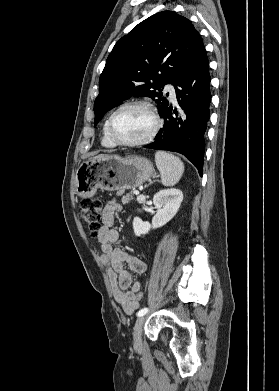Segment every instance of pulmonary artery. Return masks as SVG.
I'll use <instances>...</instances> for the list:
<instances>
[{
	"mask_svg": "<svg viewBox=\"0 0 279 391\" xmlns=\"http://www.w3.org/2000/svg\"><path fill=\"white\" fill-rule=\"evenodd\" d=\"M165 90L167 92H169L172 101H176V95H175V88H174V86L171 85V84H168V85H166Z\"/></svg>",
	"mask_w": 279,
	"mask_h": 391,
	"instance_id": "pulmonary-artery-1",
	"label": "pulmonary artery"
}]
</instances>
